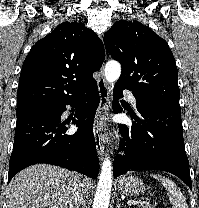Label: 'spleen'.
I'll return each mask as SVG.
<instances>
[{"mask_svg": "<svg viewBox=\"0 0 199 208\" xmlns=\"http://www.w3.org/2000/svg\"><path fill=\"white\" fill-rule=\"evenodd\" d=\"M154 179L161 182V184L165 187L168 192V196L170 199L173 208H188L186 203V199L184 198L183 194L178 189L177 185L167 177L162 175H152Z\"/></svg>", "mask_w": 199, "mask_h": 208, "instance_id": "spleen-1", "label": "spleen"}]
</instances>
